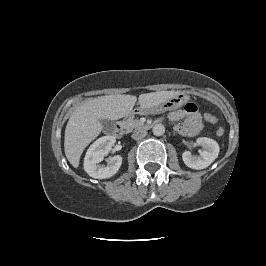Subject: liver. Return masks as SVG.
Instances as JSON below:
<instances>
[{
    "label": "liver",
    "mask_w": 266,
    "mask_h": 266,
    "mask_svg": "<svg viewBox=\"0 0 266 266\" xmlns=\"http://www.w3.org/2000/svg\"><path fill=\"white\" fill-rule=\"evenodd\" d=\"M176 91H157L141 94V109L151 108L176 96ZM137 101L133 95H106L90 98L70 116L65 129V155L74 168H78L83 150L102 131L101 119L117 120L128 116Z\"/></svg>",
    "instance_id": "6515ba94"
}]
</instances>
